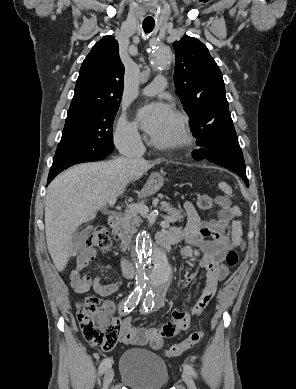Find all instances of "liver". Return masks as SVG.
<instances>
[{
    "instance_id": "liver-1",
    "label": "liver",
    "mask_w": 296,
    "mask_h": 389,
    "mask_svg": "<svg viewBox=\"0 0 296 389\" xmlns=\"http://www.w3.org/2000/svg\"><path fill=\"white\" fill-rule=\"evenodd\" d=\"M154 163L143 158L76 165L50 184L45 198L47 248L58 271L66 267L72 237L83 223L95 218L109 200L142 177Z\"/></svg>"
}]
</instances>
